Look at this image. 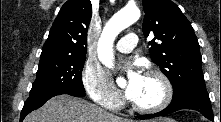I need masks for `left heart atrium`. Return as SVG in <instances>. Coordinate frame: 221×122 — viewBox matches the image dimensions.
<instances>
[{"mask_svg":"<svg viewBox=\"0 0 221 122\" xmlns=\"http://www.w3.org/2000/svg\"><path fill=\"white\" fill-rule=\"evenodd\" d=\"M126 75L127 85L125 88V95L129 99H133L141 86L143 76L139 73L134 65L127 66Z\"/></svg>","mask_w":221,"mask_h":122,"instance_id":"left-heart-atrium-1","label":"left heart atrium"}]
</instances>
